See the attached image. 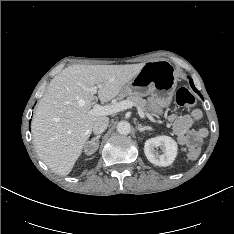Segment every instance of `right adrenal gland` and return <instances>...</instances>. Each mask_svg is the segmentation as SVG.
Segmentation results:
<instances>
[{
	"label": "right adrenal gland",
	"mask_w": 234,
	"mask_h": 234,
	"mask_svg": "<svg viewBox=\"0 0 234 234\" xmlns=\"http://www.w3.org/2000/svg\"><path fill=\"white\" fill-rule=\"evenodd\" d=\"M101 137V135H97L96 137H93L91 139V141L86 142V144H91L94 143L97 145V148L99 147V138Z\"/></svg>",
	"instance_id": "1"
}]
</instances>
